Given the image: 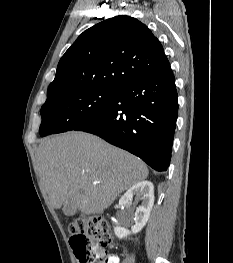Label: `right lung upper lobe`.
<instances>
[{
  "mask_svg": "<svg viewBox=\"0 0 233 263\" xmlns=\"http://www.w3.org/2000/svg\"><path fill=\"white\" fill-rule=\"evenodd\" d=\"M170 69L160 41L135 18L116 16L84 31L59 61L47 97L75 89H118Z\"/></svg>",
  "mask_w": 233,
  "mask_h": 263,
  "instance_id": "1",
  "label": "right lung upper lobe"
}]
</instances>
